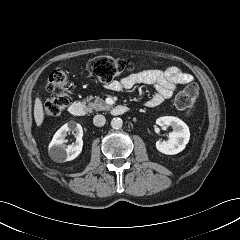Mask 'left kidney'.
<instances>
[{
    "mask_svg": "<svg viewBox=\"0 0 240 240\" xmlns=\"http://www.w3.org/2000/svg\"><path fill=\"white\" fill-rule=\"evenodd\" d=\"M156 124L161 127L170 126L173 131L169 133L167 141L156 142V148L159 152L167 155H174L183 151L189 142V127L181 119L174 116H163L156 120Z\"/></svg>",
    "mask_w": 240,
    "mask_h": 240,
    "instance_id": "obj_1",
    "label": "left kidney"
}]
</instances>
